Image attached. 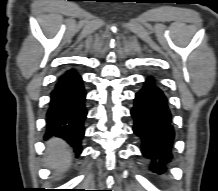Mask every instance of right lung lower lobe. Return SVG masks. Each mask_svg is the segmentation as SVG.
Segmentation results:
<instances>
[{
	"mask_svg": "<svg viewBox=\"0 0 218 191\" xmlns=\"http://www.w3.org/2000/svg\"><path fill=\"white\" fill-rule=\"evenodd\" d=\"M50 98L45 137H60L80 154L87 115L86 91L81 76L74 69L66 71L59 77Z\"/></svg>",
	"mask_w": 218,
	"mask_h": 191,
	"instance_id": "right-lung-lower-lobe-1",
	"label": "right lung lower lobe"
}]
</instances>
